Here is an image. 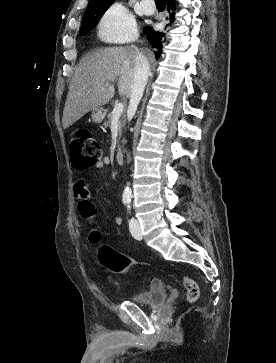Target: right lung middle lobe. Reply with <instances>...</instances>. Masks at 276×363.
Returning <instances> with one entry per match:
<instances>
[{"label": "right lung middle lobe", "instance_id": "right-lung-middle-lobe-1", "mask_svg": "<svg viewBox=\"0 0 276 363\" xmlns=\"http://www.w3.org/2000/svg\"><path fill=\"white\" fill-rule=\"evenodd\" d=\"M112 3L88 5L82 20V25L79 33L86 35L89 33L99 22L103 14Z\"/></svg>", "mask_w": 276, "mask_h": 363}]
</instances>
